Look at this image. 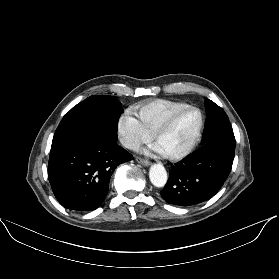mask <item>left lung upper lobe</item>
<instances>
[{
  "label": "left lung upper lobe",
  "instance_id": "5c2ea615",
  "mask_svg": "<svg viewBox=\"0 0 279 279\" xmlns=\"http://www.w3.org/2000/svg\"><path fill=\"white\" fill-rule=\"evenodd\" d=\"M207 118L203 132V144L210 141H222L235 146V138L228 116L213 101L205 99Z\"/></svg>",
  "mask_w": 279,
  "mask_h": 279
}]
</instances>
